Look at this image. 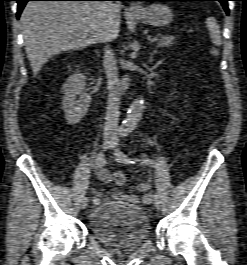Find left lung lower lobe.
<instances>
[{"label":"left lung lower lobe","instance_id":"left-lung-lower-lobe-1","mask_svg":"<svg viewBox=\"0 0 247 265\" xmlns=\"http://www.w3.org/2000/svg\"><path fill=\"white\" fill-rule=\"evenodd\" d=\"M127 1H178V0H127ZM193 1H219L222 4L226 14L227 15L229 14V8L227 2L230 0H193Z\"/></svg>","mask_w":247,"mask_h":265}]
</instances>
